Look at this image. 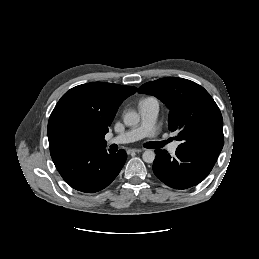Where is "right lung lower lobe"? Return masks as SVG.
<instances>
[{
	"label": "right lung lower lobe",
	"mask_w": 259,
	"mask_h": 259,
	"mask_svg": "<svg viewBox=\"0 0 259 259\" xmlns=\"http://www.w3.org/2000/svg\"><path fill=\"white\" fill-rule=\"evenodd\" d=\"M126 158L123 149L115 153L102 148L57 155L52 160L62 178L72 188L94 193L107 187L116 178Z\"/></svg>",
	"instance_id": "right-lung-lower-lobe-1"
}]
</instances>
